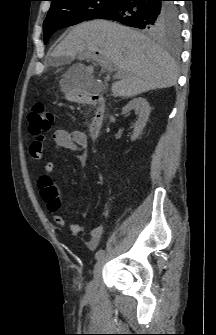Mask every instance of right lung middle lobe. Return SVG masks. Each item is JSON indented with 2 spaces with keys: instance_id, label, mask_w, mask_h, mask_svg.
<instances>
[{
  "instance_id": "dd1d6c3e",
  "label": "right lung middle lobe",
  "mask_w": 216,
  "mask_h": 335,
  "mask_svg": "<svg viewBox=\"0 0 216 335\" xmlns=\"http://www.w3.org/2000/svg\"><path fill=\"white\" fill-rule=\"evenodd\" d=\"M118 0H53L44 21V43L58 29L96 19L109 11ZM176 10V9H174ZM168 14L158 32L147 31L152 35L177 38L180 33L179 22L173 24Z\"/></svg>"
}]
</instances>
